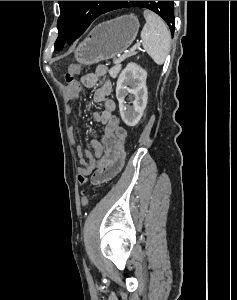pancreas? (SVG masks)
Masks as SVG:
<instances>
[{
  "instance_id": "cf45deb5",
  "label": "pancreas",
  "mask_w": 237,
  "mask_h": 300,
  "mask_svg": "<svg viewBox=\"0 0 237 300\" xmlns=\"http://www.w3.org/2000/svg\"><path fill=\"white\" fill-rule=\"evenodd\" d=\"M121 67H122V65H120L119 67L117 65H115V67H112V69H110V71H109L110 77H116V75H118Z\"/></svg>"
}]
</instances>
